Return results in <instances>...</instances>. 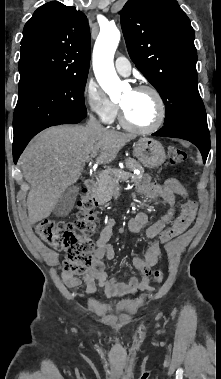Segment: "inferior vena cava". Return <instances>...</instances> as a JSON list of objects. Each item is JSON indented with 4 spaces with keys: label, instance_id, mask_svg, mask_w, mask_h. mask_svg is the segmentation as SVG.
<instances>
[{
    "label": "inferior vena cava",
    "instance_id": "1",
    "mask_svg": "<svg viewBox=\"0 0 221 379\" xmlns=\"http://www.w3.org/2000/svg\"><path fill=\"white\" fill-rule=\"evenodd\" d=\"M87 126L95 130H103L102 125L96 120L93 115L90 116Z\"/></svg>",
    "mask_w": 221,
    "mask_h": 379
}]
</instances>
